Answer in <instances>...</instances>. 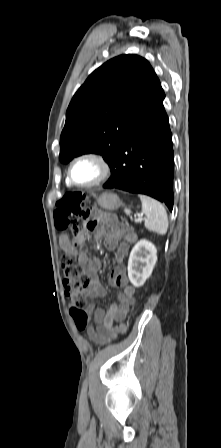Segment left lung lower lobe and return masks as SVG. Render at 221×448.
I'll return each instance as SVG.
<instances>
[{
	"label": "left lung lower lobe",
	"instance_id": "obj_1",
	"mask_svg": "<svg viewBox=\"0 0 221 448\" xmlns=\"http://www.w3.org/2000/svg\"><path fill=\"white\" fill-rule=\"evenodd\" d=\"M164 98L155 100L121 141L104 187L149 195L172 210L174 153Z\"/></svg>",
	"mask_w": 221,
	"mask_h": 448
}]
</instances>
